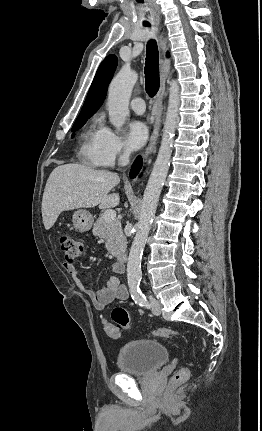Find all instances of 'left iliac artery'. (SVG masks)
<instances>
[{
	"instance_id": "44dca946",
	"label": "left iliac artery",
	"mask_w": 262,
	"mask_h": 431,
	"mask_svg": "<svg viewBox=\"0 0 262 431\" xmlns=\"http://www.w3.org/2000/svg\"><path fill=\"white\" fill-rule=\"evenodd\" d=\"M129 288L132 299L135 301V303L139 304L140 306L149 308V304L146 300V297L140 289V281L129 282Z\"/></svg>"
}]
</instances>
